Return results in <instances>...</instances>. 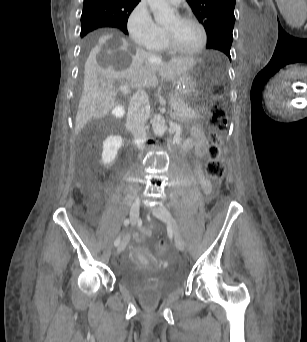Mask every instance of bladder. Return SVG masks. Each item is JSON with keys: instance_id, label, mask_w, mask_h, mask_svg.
Here are the masks:
<instances>
[{"instance_id": "1", "label": "bladder", "mask_w": 307, "mask_h": 342, "mask_svg": "<svg viewBox=\"0 0 307 342\" xmlns=\"http://www.w3.org/2000/svg\"><path fill=\"white\" fill-rule=\"evenodd\" d=\"M119 279L131 292L153 300L166 296L180 284V277L175 273L159 276L152 269L132 261L121 265Z\"/></svg>"}]
</instances>
